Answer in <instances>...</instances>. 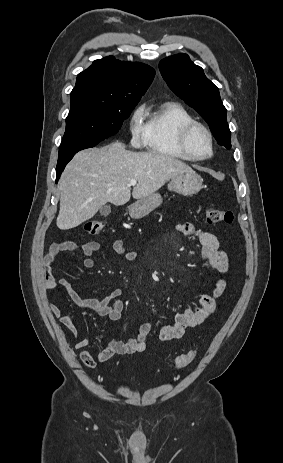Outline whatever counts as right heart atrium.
<instances>
[{"mask_svg":"<svg viewBox=\"0 0 283 463\" xmlns=\"http://www.w3.org/2000/svg\"><path fill=\"white\" fill-rule=\"evenodd\" d=\"M142 109H136L130 118L129 131L131 135V143L134 146H139L143 142L144 125L142 122Z\"/></svg>","mask_w":283,"mask_h":463,"instance_id":"right-heart-atrium-1","label":"right heart atrium"}]
</instances>
